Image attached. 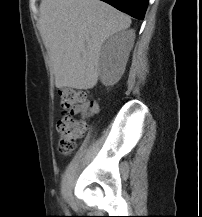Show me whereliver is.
<instances>
[{"label":"liver","instance_id":"1","mask_svg":"<svg viewBox=\"0 0 202 217\" xmlns=\"http://www.w3.org/2000/svg\"><path fill=\"white\" fill-rule=\"evenodd\" d=\"M38 30L52 63L55 86L91 89L98 82L101 47L131 19L100 0H42Z\"/></svg>","mask_w":202,"mask_h":217}]
</instances>
